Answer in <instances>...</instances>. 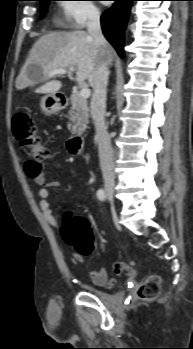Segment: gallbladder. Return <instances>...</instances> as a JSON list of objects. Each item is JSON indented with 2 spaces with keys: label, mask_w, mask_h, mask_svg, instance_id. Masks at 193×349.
I'll list each match as a JSON object with an SVG mask.
<instances>
[{
  "label": "gallbladder",
  "mask_w": 193,
  "mask_h": 349,
  "mask_svg": "<svg viewBox=\"0 0 193 349\" xmlns=\"http://www.w3.org/2000/svg\"><path fill=\"white\" fill-rule=\"evenodd\" d=\"M39 70V69H38ZM40 71V70H39ZM42 78L41 74H40V79Z\"/></svg>",
  "instance_id": "obj_1"
}]
</instances>
